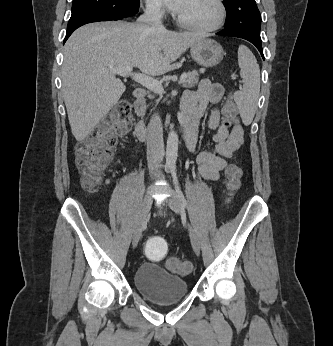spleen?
I'll return each mask as SVG.
<instances>
[{"label":"spleen","mask_w":333,"mask_h":346,"mask_svg":"<svg viewBox=\"0 0 333 346\" xmlns=\"http://www.w3.org/2000/svg\"><path fill=\"white\" fill-rule=\"evenodd\" d=\"M238 64L243 79V88L234 94L244 124L254 118L260 93V69L253 53L244 45L238 48Z\"/></svg>","instance_id":"1"}]
</instances>
